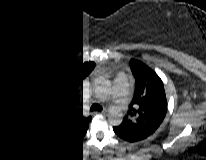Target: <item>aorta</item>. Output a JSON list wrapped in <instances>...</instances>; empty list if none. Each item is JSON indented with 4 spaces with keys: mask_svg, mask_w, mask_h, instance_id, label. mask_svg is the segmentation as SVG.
Instances as JSON below:
<instances>
[{
    "mask_svg": "<svg viewBox=\"0 0 206 160\" xmlns=\"http://www.w3.org/2000/svg\"><path fill=\"white\" fill-rule=\"evenodd\" d=\"M108 117L112 124L114 125L120 124L122 121L121 109L117 107L110 108Z\"/></svg>",
    "mask_w": 206,
    "mask_h": 160,
    "instance_id": "1",
    "label": "aorta"
}]
</instances>
